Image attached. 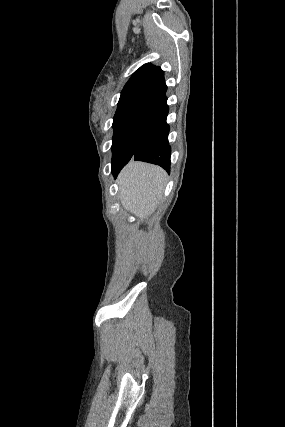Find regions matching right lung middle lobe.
<instances>
[{
	"label": "right lung middle lobe",
	"mask_w": 285,
	"mask_h": 427,
	"mask_svg": "<svg viewBox=\"0 0 285 427\" xmlns=\"http://www.w3.org/2000/svg\"><path fill=\"white\" fill-rule=\"evenodd\" d=\"M146 114L129 116L113 121L112 170L128 163L142 143V127Z\"/></svg>",
	"instance_id": "right-lung-middle-lobe-1"
}]
</instances>
